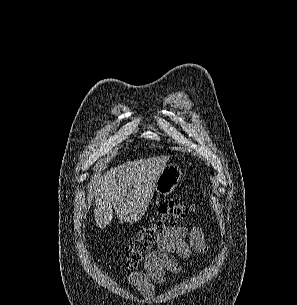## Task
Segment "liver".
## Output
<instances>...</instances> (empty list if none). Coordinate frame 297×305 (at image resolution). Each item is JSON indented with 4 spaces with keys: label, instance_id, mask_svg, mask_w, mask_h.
Segmentation results:
<instances>
[{
    "label": "liver",
    "instance_id": "6515ba94",
    "mask_svg": "<svg viewBox=\"0 0 297 305\" xmlns=\"http://www.w3.org/2000/svg\"><path fill=\"white\" fill-rule=\"evenodd\" d=\"M169 156L134 160L111 168L95 182L94 217L105 228L113 219V209L123 222L133 223L144 216L152 199L157 178Z\"/></svg>",
    "mask_w": 297,
    "mask_h": 305
}]
</instances>
